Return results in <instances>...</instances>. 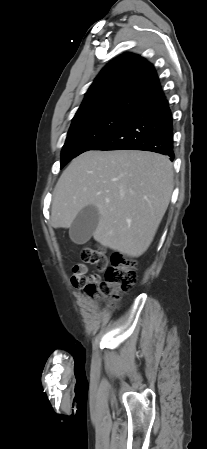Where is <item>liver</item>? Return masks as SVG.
Returning a JSON list of instances; mask_svg holds the SVG:
<instances>
[{
  "mask_svg": "<svg viewBox=\"0 0 207 449\" xmlns=\"http://www.w3.org/2000/svg\"><path fill=\"white\" fill-rule=\"evenodd\" d=\"M173 191L167 156L147 151H87L61 174L53 193L50 222L70 228L86 206H95L93 232L101 245L129 257L150 246Z\"/></svg>",
  "mask_w": 207,
  "mask_h": 449,
  "instance_id": "6515ba94",
  "label": "liver"
}]
</instances>
